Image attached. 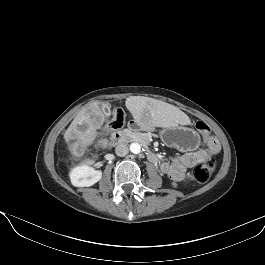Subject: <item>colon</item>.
<instances>
[{
    "instance_id": "1",
    "label": "colon",
    "mask_w": 265,
    "mask_h": 265,
    "mask_svg": "<svg viewBox=\"0 0 265 265\" xmlns=\"http://www.w3.org/2000/svg\"><path fill=\"white\" fill-rule=\"evenodd\" d=\"M126 122V115L125 112L120 109L116 108L112 111L110 116L108 128L109 130H120L124 127ZM196 128L199 132L204 135L205 140L209 139V129L208 126L204 122H197ZM216 168V161L213 158H209L204 160L201 163L195 165L192 171L193 179L198 183H206L211 174L214 172Z\"/></svg>"
}]
</instances>
